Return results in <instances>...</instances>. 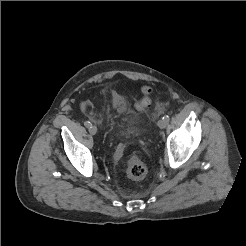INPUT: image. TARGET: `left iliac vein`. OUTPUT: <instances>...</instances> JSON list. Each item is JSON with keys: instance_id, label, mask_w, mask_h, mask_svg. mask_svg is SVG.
Wrapping results in <instances>:
<instances>
[{"instance_id": "1", "label": "left iliac vein", "mask_w": 246, "mask_h": 246, "mask_svg": "<svg viewBox=\"0 0 246 246\" xmlns=\"http://www.w3.org/2000/svg\"><path fill=\"white\" fill-rule=\"evenodd\" d=\"M166 124H167V122H165L164 120H159L158 121V126H159V128H161V129H164L165 127H166Z\"/></svg>"}]
</instances>
